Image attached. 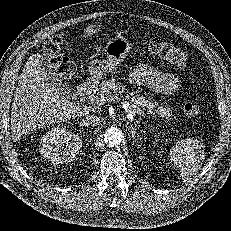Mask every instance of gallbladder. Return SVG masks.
Instances as JSON below:
<instances>
[{
    "mask_svg": "<svg viewBox=\"0 0 231 231\" xmlns=\"http://www.w3.org/2000/svg\"><path fill=\"white\" fill-rule=\"evenodd\" d=\"M45 70L47 72L49 82L63 95H65L69 99L76 97L75 90L70 85L64 83L62 74L58 72L56 67L48 65Z\"/></svg>",
    "mask_w": 231,
    "mask_h": 231,
    "instance_id": "gallbladder-1",
    "label": "gallbladder"
}]
</instances>
